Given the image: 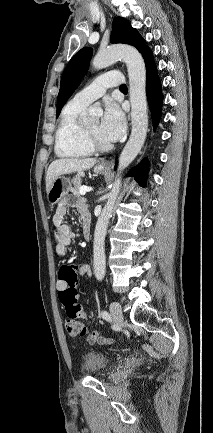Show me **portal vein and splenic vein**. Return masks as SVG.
Returning <instances> with one entry per match:
<instances>
[{
    "mask_svg": "<svg viewBox=\"0 0 213 433\" xmlns=\"http://www.w3.org/2000/svg\"><path fill=\"white\" fill-rule=\"evenodd\" d=\"M93 189L91 187H87V186H82L79 189V192L81 195H85L87 192L92 191Z\"/></svg>",
    "mask_w": 213,
    "mask_h": 433,
    "instance_id": "1",
    "label": "portal vein and splenic vein"
}]
</instances>
